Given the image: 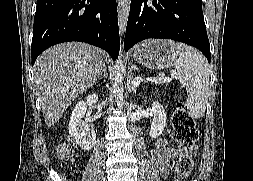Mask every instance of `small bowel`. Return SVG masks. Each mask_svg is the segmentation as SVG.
<instances>
[{"label": "small bowel", "mask_w": 253, "mask_h": 181, "mask_svg": "<svg viewBox=\"0 0 253 181\" xmlns=\"http://www.w3.org/2000/svg\"><path fill=\"white\" fill-rule=\"evenodd\" d=\"M182 150L168 144L166 140H161L152 149V159L162 177H167L171 166L181 155Z\"/></svg>", "instance_id": "small-bowel-1"}]
</instances>
